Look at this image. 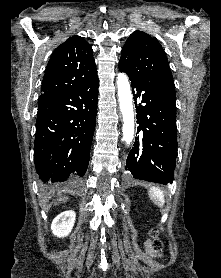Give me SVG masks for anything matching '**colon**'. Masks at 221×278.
I'll return each mask as SVG.
<instances>
[{
    "instance_id": "1",
    "label": "colon",
    "mask_w": 221,
    "mask_h": 278,
    "mask_svg": "<svg viewBox=\"0 0 221 278\" xmlns=\"http://www.w3.org/2000/svg\"><path fill=\"white\" fill-rule=\"evenodd\" d=\"M152 241L150 243L151 251L156 255H161L163 252V243L158 237L157 229H152L151 232Z\"/></svg>"
}]
</instances>
